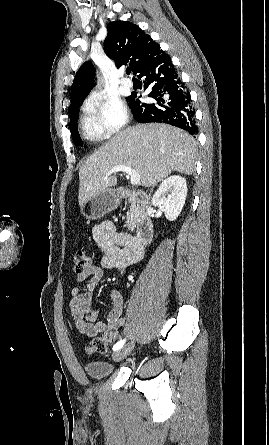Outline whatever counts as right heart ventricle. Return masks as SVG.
I'll return each mask as SVG.
<instances>
[{"label": "right heart ventricle", "instance_id": "obj_1", "mask_svg": "<svg viewBox=\"0 0 269 445\" xmlns=\"http://www.w3.org/2000/svg\"><path fill=\"white\" fill-rule=\"evenodd\" d=\"M81 131L83 136L92 142L101 140L106 134L87 112L81 117Z\"/></svg>", "mask_w": 269, "mask_h": 445}]
</instances>
